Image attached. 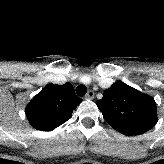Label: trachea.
<instances>
[{
    "mask_svg": "<svg viewBox=\"0 0 164 164\" xmlns=\"http://www.w3.org/2000/svg\"><path fill=\"white\" fill-rule=\"evenodd\" d=\"M87 92V87L85 85H79L76 88V93L78 96L83 97Z\"/></svg>",
    "mask_w": 164,
    "mask_h": 164,
    "instance_id": "1",
    "label": "trachea"
}]
</instances>
